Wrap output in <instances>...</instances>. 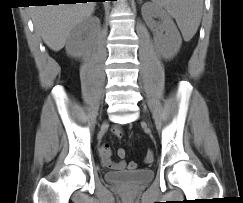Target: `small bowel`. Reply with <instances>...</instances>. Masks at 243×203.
<instances>
[{
  "label": "small bowel",
  "instance_id": "1",
  "mask_svg": "<svg viewBox=\"0 0 243 203\" xmlns=\"http://www.w3.org/2000/svg\"><path fill=\"white\" fill-rule=\"evenodd\" d=\"M112 133L118 137L122 135V131L118 126H114L112 128ZM120 150V149H119ZM118 150V156L123 159L125 156H121L119 154ZM100 158H101V163L104 167L114 169V170H123L126 166L125 162L123 160L118 161V162H113L111 160V148L109 144H102L100 146Z\"/></svg>",
  "mask_w": 243,
  "mask_h": 203
}]
</instances>
